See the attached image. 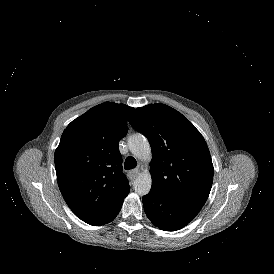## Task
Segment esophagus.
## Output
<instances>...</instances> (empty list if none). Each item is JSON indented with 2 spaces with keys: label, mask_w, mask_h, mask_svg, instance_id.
Returning a JSON list of instances; mask_svg holds the SVG:
<instances>
[{
  "label": "esophagus",
  "mask_w": 274,
  "mask_h": 274,
  "mask_svg": "<svg viewBox=\"0 0 274 274\" xmlns=\"http://www.w3.org/2000/svg\"><path fill=\"white\" fill-rule=\"evenodd\" d=\"M138 175H139V170L138 169H133V170L128 172V176L131 180H134Z\"/></svg>",
  "instance_id": "obj_1"
}]
</instances>
